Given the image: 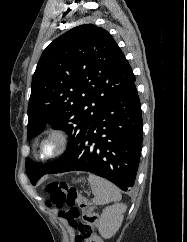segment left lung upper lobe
<instances>
[{"label":"left lung upper lobe","mask_w":187,"mask_h":242,"mask_svg":"<svg viewBox=\"0 0 187 242\" xmlns=\"http://www.w3.org/2000/svg\"><path fill=\"white\" fill-rule=\"evenodd\" d=\"M134 81L124 53L103 28L80 25L52 41L33 74L27 137L37 136L50 124L64 130L69 142L61 157L51 163L26 158L30 180L63 162L100 112Z\"/></svg>","instance_id":"5c2ea615"}]
</instances>
